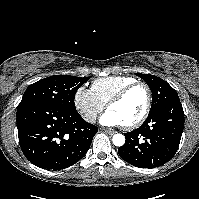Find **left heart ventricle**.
Here are the masks:
<instances>
[{"mask_svg": "<svg viewBox=\"0 0 199 199\" xmlns=\"http://www.w3.org/2000/svg\"><path fill=\"white\" fill-rule=\"evenodd\" d=\"M146 91L142 87L132 89L122 101L109 108L122 122L129 124L135 121L144 111Z\"/></svg>", "mask_w": 199, "mask_h": 199, "instance_id": "b2bd125f", "label": "left heart ventricle"}]
</instances>
